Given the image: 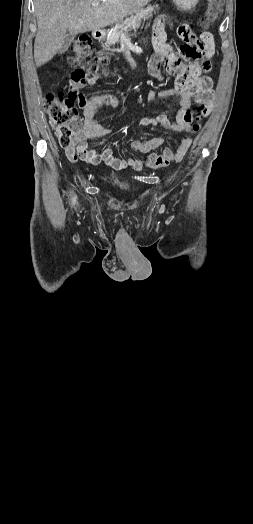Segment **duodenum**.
I'll return each instance as SVG.
<instances>
[{"label": "duodenum", "instance_id": "1", "mask_svg": "<svg viewBox=\"0 0 253 524\" xmlns=\"http://www.w3.org/2000/svg\"><path fill=\"white\" fill-rule=\"evenodd\" d=\"M104 36V32L102 30H94L93 31V37L97 40L102 39Z\"/></svg>", "mask_w": 253, "mask_h": 524}]
</instances>
